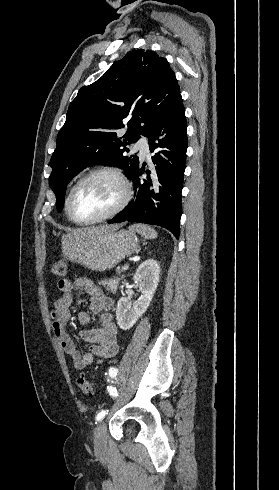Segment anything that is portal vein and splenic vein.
<instances>
[{
  "instance_id": "portal-vein-and-splenic-vein-1",
  "label": "portal vein and splenic vein",
  "mask_w": 279,
  "mask_h": 490,
  "mask_svg": "<svg viewBox=\"0 0 279 490\" xmlns=\"http://www.w3.org/2000/svg\"><path fill=\"white\" fill-rule=\"evenodd\" d=\"M129 266H123L122 270H128Z\"/></svg>"
}]
</instances>
